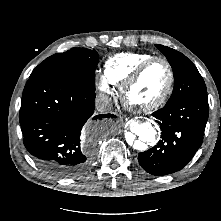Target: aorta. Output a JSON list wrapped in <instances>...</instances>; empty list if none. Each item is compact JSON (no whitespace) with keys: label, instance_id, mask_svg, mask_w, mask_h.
<instances>
[{"label":"aorta","instance_id":"1","mask_svg":"<svg viewBox=\"0 0 221 221\" xmlns=\"http://www.w3.org/2000/svg\"><path fill=\"white\" fill-rule=\"evenodd\" d=\"M132 133H126V141L128 145L137 150H145L146 142L151 143L155 141L156 130L154 126L148 121H135L131 125ZM135 135L137 139H135Z\"/></svg>","mask_w":221,"mask_h":221}]
</instances>
